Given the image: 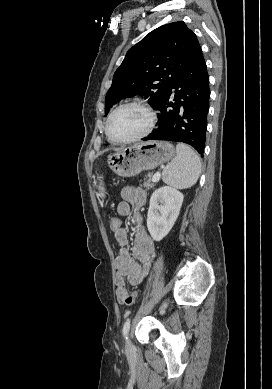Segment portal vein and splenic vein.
Instances as JSON below:
<instances>
[{"label":"portal vein and splenic vein","mask_w":272,"mask_h":389,"mask_svg":"<svg viewBox=\"0 0 272 389\" xmlns=\"http://www.w3.org/2000/svg\"><path fill=\"white\" fill-rule=\"evenodd\" d=\"M160 177H161L160 173L157 172V173L154 174V176L152 178V181L153 182H158L160 180Z\"/></svg>","instance_id":"obj_1"}]
</instances>
